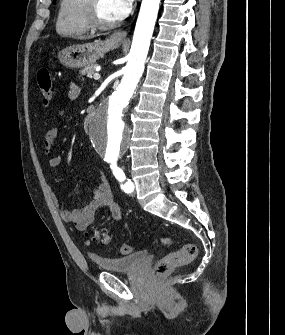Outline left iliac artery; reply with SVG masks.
I'll return each instance as SVG.
<instances>
[{
  "label": "left iliac artery",
  "instance_id": "44dca946",
  "mask_svg": "<svg viewBox=\"0 0 285 335\" xmlns=\"http://www.w3.org/2000/svg\"><path fill=\"white\" fill-rule=\"evenodd\" d=\"M110 164V167L116 179L120 182L126 181L124 185H121L122 190L126 193H131L134 190V185L130 179H126L123 170L117 167L116 159L110 160Z\"/></svg>",
  "mask_w": 285,
  "mask_h": 335
}]
</instances>
